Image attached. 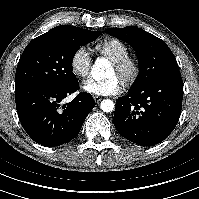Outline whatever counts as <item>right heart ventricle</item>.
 <instances>
[{
    "instance_id": "obj_1",
    "label": "right heart ventricle",
    "mask_w": 199,
    "mask_h": 199,
    "mask_svg": "<svg viewBox=\"0 0 199 199\" xmlns=\"http://www.w3.org/2000/svg\"><path fill=\"white\" fill-rule=\"evenodd\" d=\"M95 50L98 54L111 62H115L128 55L127 45L115 38H108L97 43L95 45Z\"/></svg>"
}]
</instances>
